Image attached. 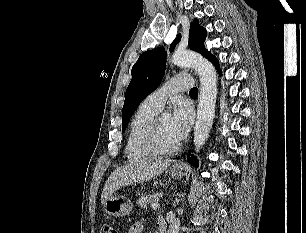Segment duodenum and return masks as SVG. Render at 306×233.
Listing matches in <instances>:
<instances>
[{"mask_svg":"<svg viewBox=\"0 0 306 233\" xmlns=\"http://www.w3.org/2000/svg\"><path fill=\"white\" fill-rule=\"evenodd\" d=\"M160 233H166L165 225L160 226Z\"/></svg>","mask_w":306,"mask_h":233,"instance_id":"1","label":"duodenum"}]
</instances>
